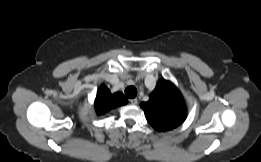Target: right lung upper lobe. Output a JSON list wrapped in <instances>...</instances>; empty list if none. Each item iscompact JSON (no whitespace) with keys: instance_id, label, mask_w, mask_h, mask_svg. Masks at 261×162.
Instances as JSON below:
<instances>
[{"instance_id":"1","label":"right lung upper lobe","mask_w":261,"mask_h":162,"mask_svg":"<svg viewBox=\"0 0 261 162\" xmlns=\"http://www.w3.org/2000/svg\"><path fill=\"white\" fill-rule=\"evenodd\" d=\"M127 102V98L121 92L111 93L105 85H101L95 99V109L101 115Z\"/></svg>"}]
</instances>
